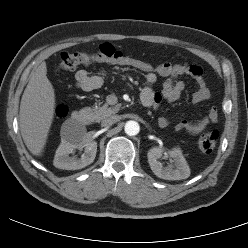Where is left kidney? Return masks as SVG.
Returning <instances> with one entry per match:
<instances>
[{
  "label": "left kidney",
  "instance_id": "5707ae66",
  "mask_svg": "<svg viewBox=\"0 0 248 248\" xmlns=\"http://www.w3.org/2000/svg\"><path fill=\"white\" fill-rule=\"evenodd\" d=\"M164 153L173 159V165L163 167L158 161ZM147 157L151 170L159 178L165 180H182L190 176V168L179 148L166 152L164 148L153 147L148 151Z\"/></svg>",
  "mask_w": 248,
  "mask_h": 248
}]
</instances>
